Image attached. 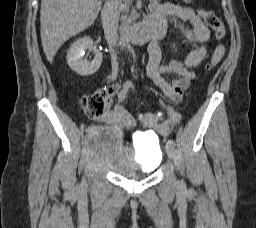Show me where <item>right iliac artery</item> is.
Segmentation results:
<instances>
[{
  "instance_id": "right-iliac-artery-1",
  "label": "right iliac artery",
  "mask_w": 256,
  "mask_h": 228,
  "mask_svg": "<svg viewBox=\"0 0 256 228\" xmlns=\"http://www.w3.org/2000/svg\"><path fill=\"white\" fill-rule=\"evenodd\" d=\"M96 129L94 125H91L87 128V134H90V132H93Z\"/></svg>"
}]
</instances>
